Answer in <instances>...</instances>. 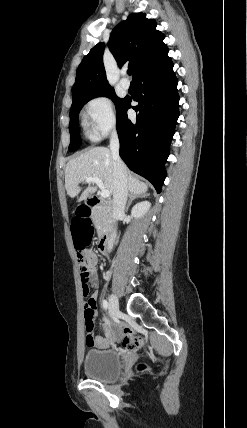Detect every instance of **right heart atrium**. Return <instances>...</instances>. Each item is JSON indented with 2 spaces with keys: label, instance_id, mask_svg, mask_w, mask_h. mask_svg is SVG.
Masks as SVG:
<instances>
[{
  "label": "right heart atrium",
  "instance_id": "1",
  "mask_svg": "<svg viewBox=\"0 0 247 428\" xmlns=\"http://www.w3.org/2000/svg\"><path fill=\"white\" fill-rule=\"evenodd\" d=\"M87 131L90 138L98 140L116 127V113L112 100L105 95L91 99L85 107Z\"/></svg>",
  "mask_w": 247,
  "mask_h": 428
}]
</instances>
